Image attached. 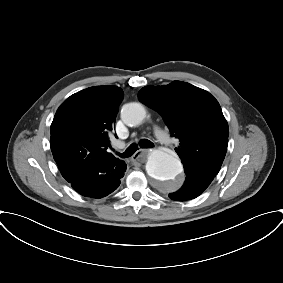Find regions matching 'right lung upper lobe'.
Masks as SVG:
<instances>
[{
    "label": "right lung upper lobe",
    "mask_w": 283,
    "mask_h": 283,
    "mask_svg": "<svg viewBox=\"0 0 283 283\" xmlns=\"http://www.w3.org/2000/svg\"><path fill=\"white\" fill-rule=\"evenodd\" d=\"M123 96L117 86H95L73 94L58 108L51 124L50 145L69 183L101 162H122L107 148Z\"/></svg>",
    "instance_id": "obj_1"
}]
</instances>
